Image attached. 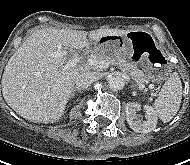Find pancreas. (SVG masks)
Returning a JSON list of instances; mask_svg holds the SVG:
<instances>
[{
  "instance_id": "cf45deb5",
  "label": "pancreas",
  "mask_w": 190,
  "mask_h": 165,
  "mask_svg": "<svg viewBox=\"0 0 190 165\" xmlns=\"http://www.w3.org/2000/svg\"><path fill=\"white\" fill-rule=\"evenodd\" d=\"M91 58L98 60V61H106L109 62L112 65H117L119 68L125 72L128 73L131 78L140 86L148 81L146 75L138 69L135 65L130 64L124 60V58L118 56V57H110L102 55L101 53L93 51L91 54ZM95 69H99L94 67Z\"/></svg>"
}]
</instances>
